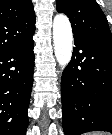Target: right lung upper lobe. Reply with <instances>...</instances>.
I'll return each mask as SVG.
<instances>
[{"label":"right lung upper lobe","mask_w":112,"mask_h":135,"mask_svg":"<svg viewBox=\"0 0 112 135\" xmlns=\"http://www.w3.org/2000/svg\"><path fill=\"white\" fill-rule=\"evenodd\" d=\"M35 31L31 0H0V54L15 47Z\"/></svg>","instance_id":"cb5924a9"}]
</instances>
